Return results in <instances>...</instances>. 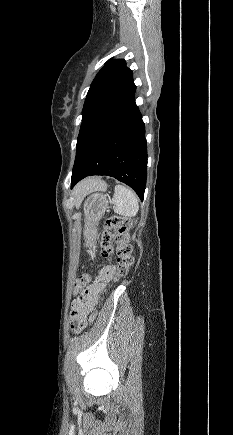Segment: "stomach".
Here are the masks:
<instances>
[{"label": "stomach", "instance_id": "1", "mask_svg": "<svg viewBox=\"0 0 233 435\" xmlns=\"http://www.w3.org/2000/svg\"><path fill=\"white\" fill-rule=\"evenodd\" d=\"M107 207L108 200L102 193H93L84 202V236L86 247L90 250L95 248L98 235L96 225L104 215Z\"/></svg>", "mask_w": 233, "mask_h": 435}]
</instances>
